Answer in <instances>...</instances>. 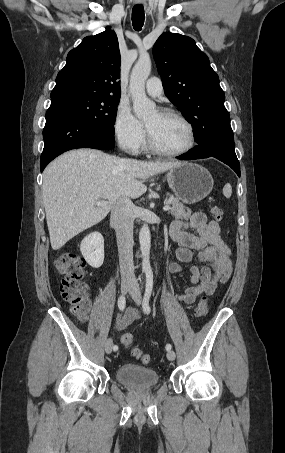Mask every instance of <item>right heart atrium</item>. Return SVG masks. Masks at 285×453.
Instances as JSON below:
<instances>
[{"instance_id": "right-heart-atrium-1", "label": "right heart atrium", "mask_w": 285, "mask_h": 453, "mask_svg": "<svg viewBox=\"0 0 285 453\" xmlns=\"http://www.w3.org/2000/svg\"><path fill=\"white\" fill-rule=\"evenodd\" d=\"M113 132L119 145L130 153H137L145 139L143 124L126 106H119L113 122Z\"/></svg>"}]
</instances>
